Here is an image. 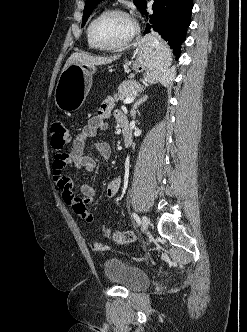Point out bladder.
<instances>
[{"label": "bladder", "instance_id": "31cf9c89", "mask_svg": "<svg viewBox=\"0 0 247 332\" xmlns=\"http://www.w3.org/2000/svg\"><path fill=\"white\" fill-rule=\"evenodd\" d=\"M103 271L109 282L129 291H141L149 285V277L145 271L117 258L105 260Z\"/></svg>", "mask_w": 247, "mask_h": 332}]
</instances>
